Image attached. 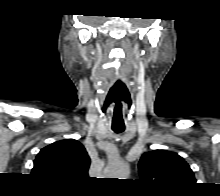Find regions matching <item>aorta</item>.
<instances>
[{
  "label": "aorta",
  "instance_id": "1",
  "mask_svg": "<svg viewBox=\"0 0 220 196\" xmlns=\"http://www.w3.org/2000/svg\"><path fill=\"white\" fill-rule=\"evenodd\" d=\"M129 165L121 160L110 161L105 169L106 178L127 179Z\"/></svg>",
  "mask_w": 220,
  "mask_h": 196
}]
</instances>
